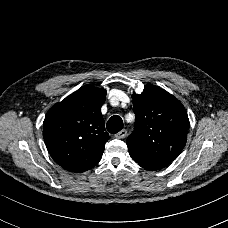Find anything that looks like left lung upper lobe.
I'll use <instances>...</instances> for the list:
<instances>
[{"label":"left lung upper lobe","mask_w":228,"mask_h":228,"mask_svg":"<svg viewBox=\"0 0 228 228\" xmlns=\"http://www.w3.org/2000/svg\"><path fill=\"white\" fill-rule=\"evenodd\" d=\"M136 116L134 132L127 138L134 161L149 170L166 167L182 151L187 140L189 119L182 103L154 85L132 95Z\"/></svg>","instance_id":"1"}]
</instances>
